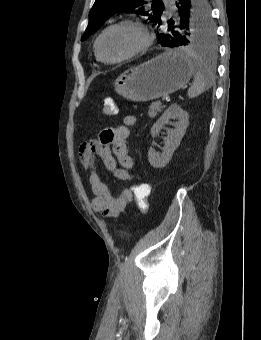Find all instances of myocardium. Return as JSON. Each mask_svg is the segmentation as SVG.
I'll return each instance as SVG.
<instances>
[{"label":"myocardium","mask_w":261,"mask_h":340,"mask_svg":"<svg viewBox=\"0 0 261 340\" xmlns=\"http://www.w3.org/2000/svg\"><path fill=\"white\" fill-rule=\"evenodd\" d=\"M121 25H129V26L136 28L140 32L141 37H142L141 44L135 50H133L132 52H130V53L124 55V56H121V57H118V58H115V59H106V58L102 57L100 50H99L100 41H101L102 37L112 28H115V27H118V26H121ZM152 41H153L152 36H151L147 26L144 23H142L141 21H139L137 19L124 18V19L118 20L114 23H111L110 25H108L107 27H105L101 31V33L97 36V38L95 40L94 51H95L97 58L100 61H102L104 63H108V64H114V63H119V62L129 60V59L136 57L137 55L143 53L144 51H146L150 47V45L152 44Z\"/></svg>","instance_id":"1"}]
</instances>
